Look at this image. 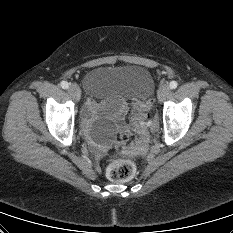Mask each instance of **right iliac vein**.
<instances>
[{"mask_svg":"<svg viewBox=\"0 0 233 233\" xmlns=\"http://www.w3.org/2000/svg\"><path fill=\"white\" fill-rule=\"evenodd\" d=\"M68 92L75 100H79L81 96V91L78 85L76 84H70L68 88Z\"/></svg>","mask_w":233,"mask_h":233,"instance_id":"right-iliac-vein-1","label":"right iliac vein"}]
</instances>
